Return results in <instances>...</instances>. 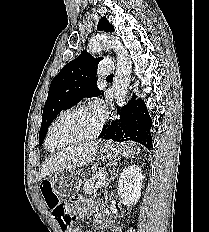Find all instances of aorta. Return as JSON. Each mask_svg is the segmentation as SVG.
I'll return each mask as SVG.
<instances>
[{"label": "aorta", "mask_w": 209, "mask_h": 232, "mask_svg": "<svg viewBox=\"0 0 209 232\" xmlns=\"http://www.w3.org/2000/svg\"><path fill=\"white\" fill-rule=\"evenodd\" d=\"M105 48H114L117 56V70L113 80V89L118 106L125 104L127 89L131 81V61L128 51L120 40L106 34H100L89 42V50L98 53Z\"/></svg>", "instance_id": "762f6f07"}]
</instances>
